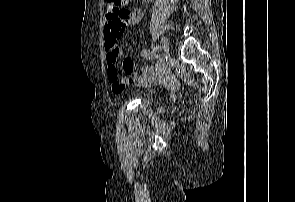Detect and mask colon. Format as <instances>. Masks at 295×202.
I'll return each instance as SVG.
<instances>
[{
    "mask_svg": "<svg viewBox=\"0 0 295 202\" xmlns=\"http://www.w3.org/2000/svg\"><path fill=\"white\" fill-rule=\"evenodd\" d=\"M128 2L129 0H106L107 15L111 18H117L125 22L128 17V12L125 9V6Z\"/></svg>",
    "mask_w": 295,
    "mask_h": 202,
    "instance_id": "obj_1",
    "label": "colon"
}]
</instances>
